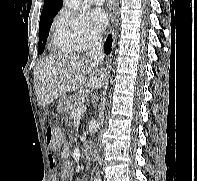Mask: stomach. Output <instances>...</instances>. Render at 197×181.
Returning <instances> with one entry per match:
<instances>
[{"label": "stomach", "mask_w": 197, "mask_h": 181, "mask_svg": "<svg viewBox=\"0 0 197 181\" xmlns=\"http://www.w3.org/2000/svg\"><path fill=\"white\" fill-rule=\"evenodd\" d=\"M72 98L68 95H62L59 99L57 110L60 114L67 115L70 112L72 105Z\"/></svg>", "instance_id": "0dacf381"}]
</instances>
